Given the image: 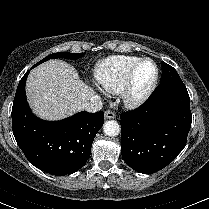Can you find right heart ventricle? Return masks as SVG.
<instances>
[{
    "label": "right heart ventricle",
    "instance_id": "1",
    "mask_svg": "<svg viewBox=\"0 0 209 209\" xmlns=\"http://www.w3.org/2000/svg\"><path fill=\"white\" fill-rule=\"evenodd\" d=\"M136 56L118 55L104 60L96 71V79L109 93L121 91L130 68L139 60Z\"/></svg>",
    "mask_w": 209,
    "mask_h": 209
}]
</instances>
